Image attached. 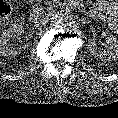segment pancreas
<instances>
[{
    "instance_id": "1",
    "label": "pancreas",
    "mask_w": 118,
    "mask_h": 118,
    "mask_svg": "<svg viewBox=\"0 0 118 118\" xmlns=\"http://www.w3.org/2000/svg\"><path fill=\"white\" fill-rule=\"evenodd\" d=\"M54 1H56V0H54ZM49 9H51L52 8V5H49V7H48Z\"/></svg>"
}]
</instances>
